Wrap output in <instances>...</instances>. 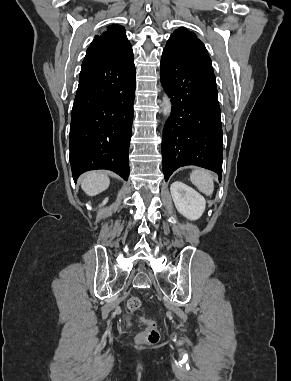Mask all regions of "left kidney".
<instances>
[{
    "instance_id": "1",
    "label": "left kidney",
    "mask_w": 291,
    "mask_h": 381,
    "mask_svg": "<svg viewBox=\"0 0 291 381\" xmlns=\"http://www.w3.org/2000/svg\"><path fill=\"white\" fill-rule=\"evenodd\" d=\"M177 211L189 220L199 219L205 211L206 201L196 190L175 181L170 186Z\"/></svg>"
}]
</instances>
